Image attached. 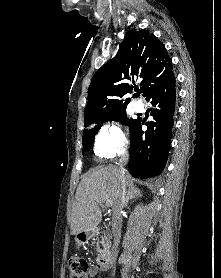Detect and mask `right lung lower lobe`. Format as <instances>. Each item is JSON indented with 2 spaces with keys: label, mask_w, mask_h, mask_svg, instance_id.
<instances>
[{
  "label": "right lung lower lobe",
  "mask_w": 221,
  "mask_h": 278,
  "mask_svg": "<svg viewBox=\"0 0 221 278\" xmlns=\"http://www.w3.org/2000/svg\"><path fill=\"white\" fill-rule=\"evenodd\" d=\"M152 104L147 131L143 132L141 119H136L130 129L129 172L135 178L147 179L159 175L165 167L171 143L175 115V77L171 72L153 86L145 95Z\"/></svg>",
  "instance_id": "right-lung-lower-lobe-1"
}]
</instances>
